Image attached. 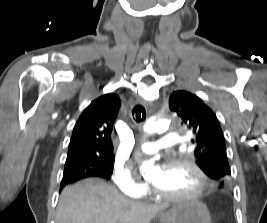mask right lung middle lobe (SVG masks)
Returning <instances> with one entry per match:
<instances>
[{"label": "right lung middle lobe", "mask_w": 267, "mask_h": 223, "mask_svg": "<svg viewBox=\"0 0 267 223\" xmlns=\"http://www.w3.org/2000/svg\"><path fill=\"white\" fill-rule=\"evenodd\" d=\"M78 170L97 173L101 175L102 178L109 179L113 172V155L66 161L64 172Z\"/></svg>", "instance_id": "dd1d6c3e"}]
</instances>
